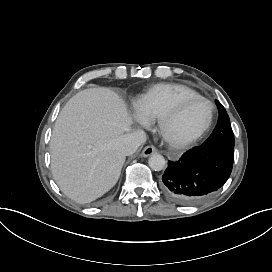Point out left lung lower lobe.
<instances>
[{
	"mask_svg": "<svg viewBox=\"0 0 272 272\" xmlns=\"http://www.w3.org/2000/svg\"><path fill=\"white\" fill-rule=\"evenodd\" d=\"M234 149L221 146L194 147L176 162H169L160 188L173 202L193 205L217 191L229 178Z\"/></svg>",
	"mask_w": 272,
	"mask_h": 272,
	"instance_id": "left-lung-lower-lobe-1",
	"label": "left lung lower lobe"
}]
</instances>
